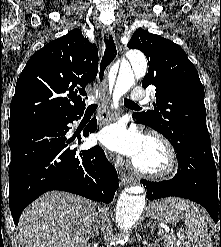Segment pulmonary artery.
Here are the masks:
<instances>
[{
    "label": "pulmonary artery",
    "mask_w": 221,
    "mask_h": 247,
    "mask_svg": "<svg viewBox=\"0 0 221 247\" xmlns=\"http://www.w3.org/2000/svg\"><path fill=\"white\" fill-rule=\"evenodd\" d=\"M145 97L143 90L141 89H133L131 92V98L133 100H142Z\"/></svg>",
    "instance_id": "obj_1"
}]
</instances>
